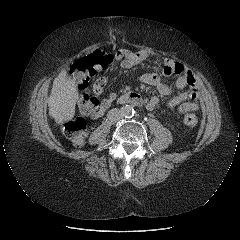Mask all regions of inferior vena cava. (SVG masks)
I'll use <instances>...</instances> for the list:
<instances>
[{
	"label": "inferior vena cava",
	"mask_w": 240,
	"mask_h": 240,
	"mask_svg": "<svg viewBox=\"0 0 240 240\" xmlns=\"http://www.w3.org/2000/svg\"><path fill=\"white\" fill-rule=\"evenodd\" d=\"M107 117L110 121L116 122V121L120 120L123 116L119 109L114 108L108 112Z\"/></svg>",
	"instance_id": "obj_1"
}]
</instances>
